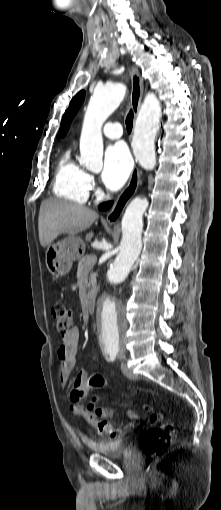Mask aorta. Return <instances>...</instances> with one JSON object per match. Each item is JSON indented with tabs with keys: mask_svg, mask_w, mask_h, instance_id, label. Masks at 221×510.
I'll use <instances>...</instances> for the list:
<instances>
[{
	"mask_svg": "<svg viewBox=\"0 0 221 510\" xmlns=\"http://www.w3.org/2000/svg\"><path fill=\"white\" fill-rule=\"evenodd\" d=\"M125 93L126 86L122 83H109L94 90L80 137V163L90 170L96 171L102 166L101 127L123 101ZM160 118V103L154 93H148L137 116L132 142L135 157L146 170H152L156 165L154 141ZM148 205L146 198L136 197L127 206L121 223L120 251L106 274L108 285L122 283L137 260L142 249V218ZM96 321L101 347L120 349L127 327L125 312L119 300L108 291L103 292L97 301Z\"/></svg>",
	"mask_w": 221,
	"mask_h": 510,
	"instance_id": "1",
	"label": "aorta"
}]
</instances>
